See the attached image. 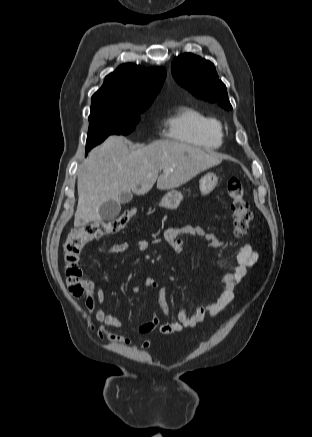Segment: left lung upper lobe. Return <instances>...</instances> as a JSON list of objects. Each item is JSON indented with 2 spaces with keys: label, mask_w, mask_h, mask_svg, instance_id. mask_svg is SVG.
<instances>
[{
  "label": "left lung upper lobe",
  "mask_w": 312,
  "mask_h": 437,
  "mask_svg": "<svg viewBox=\"0 0 312 437\" xmlns=\"http://www.w3.org/2000/svg\"><path fill=\"white\" fill-rule=\"evenodd\" d=\"M171 70L176 82L197 98L216 102L227 110L232 109L226 86L210 61L191 53L182 54L174 59Z\"/></svg>",
  "instance_id": "5c2ea615"
}]
</instances>
